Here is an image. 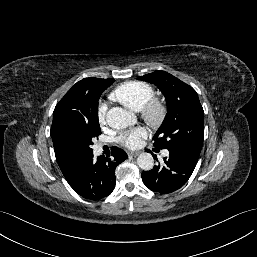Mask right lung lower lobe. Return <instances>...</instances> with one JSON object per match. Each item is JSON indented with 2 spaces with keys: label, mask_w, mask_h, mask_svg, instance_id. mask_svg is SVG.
I'll use <instances>...</instances> for the list:
<instances>
[{
  "label": "right lung lower lobe",
  "mask_w": 257,
  "mask_h": 257,
  "mask_svg": "<svg viewBox=\"0 0 257 257\" xmlns=\"http://www.w3.org/2000/svg\"><path fill=\"white\" fill-rule=\"evenodd\" d=\"M111 158L85 156L73 173L66 178L73 190L83 198L100 200L110 195L115 188V169L128 156L118 147H113Z\"/></svg>",
  "instance_id": "right-lung-lower-lobe-1"
}]
</instances>
